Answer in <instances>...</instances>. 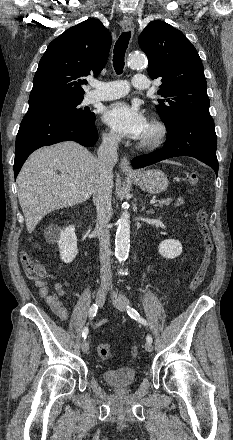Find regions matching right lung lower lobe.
Instances as JSON below:
<instances>
[{
  "instance_id": "obj_1",
  "label": "right lung lower lobe",
  "mask_w": 233,
  "mask_h": 440,
  "mask_svg": "<svg viewBox=\"0 0 233 440\" xmlns=\"http://www.w3.org/2000/svg\"><path fill=\"white\" fill-rule=\"evenodd\" d=\"M94 122L86 123L55 111L28 110L16 138L15 177L27 157L42 146L66 140L76 141L86 147L93 146L98 140Z\"/></svg>"
}]
</instances>
